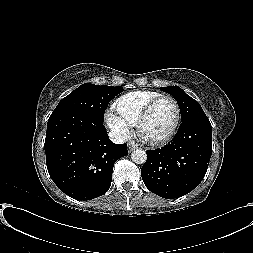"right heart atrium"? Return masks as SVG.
<instances>
[{
    "instance_id": "right-heart-atrium-1",
    "label": "right heart atrium",
    "mask_w": 253,
    "mask_h": 253,
    "mask_svg": "<svg viewBox=\"0 0 253 253\" xmlns=\"http://www.w3.org/2000/svg\"><path fill=\"white\" fill-rule=\"evenodd\" d=\"M105 121L117 138L126 140L131 135L130 125L124 121L114 110L107 111L105 115Z\"/></svg>"
}]
</instances>
